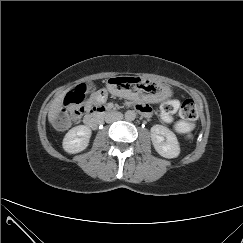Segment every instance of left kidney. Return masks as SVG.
Returning <instances> with one entry per match:
<instances>
[{"label": "left kidney", "instance_id": "obj_1", "mask_svg": "<svg viewBox=\"0 0 243 243\" xmlns=\"http://www.w3.org/2000/svg\"><path fill=\"white\" fill-rule=\"evenodd\" d=\"M152 144L159 155L164 158H176L180 154V146L176 135L163 125L151 128Z\"/></svg>", "mask_w": 243, "mask_h": 243}]
</instances>
